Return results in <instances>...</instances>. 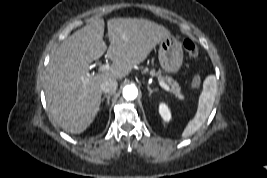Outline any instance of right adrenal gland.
Masks as SVG:
<instances>
[{
	"mask_svg": "<svg viewBox=\"0 0 267 178\" xmlns=\"http://www.w3.org/2000/svg\"><path fill=\"white\" fill-rule=\"evenodd\" d=\"M112 94H106L102 97L101 102L103 103V101L105 100V98L107 99V105L110 104V98H111Z\"/></svg>",
	"mask_w": 267,
	"mask_h": 178,
	"instance_id": "1",
	"label": "right adrenal gland"
}]
</instances>
